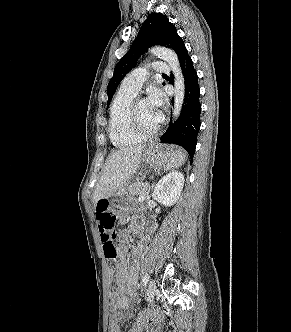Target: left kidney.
<instances>
[{
  "instance_id": "left-kidney-1",
  "label": "left kidney",
  "mask_w": 291,
  "mask_h": 332,
  "mask_svg": "<svg viewBox=\"0 0 291 332\" xmlns=\"http://www.w3.org/2000/svg\"><path fill=\"white\" fill-rule=\"evenodd\" d=\"M184 186V175L173 171L163 176L153 191V198L165 206H172L179 198Z\"/></svg>"
}]
</instances>
